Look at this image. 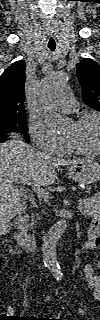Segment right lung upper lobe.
<instances>
[{
    "label": "right lung upper lobe",
    "instance_id": "1",
    "mask_svg": "<svg viewBox=\"0 0 100 320\" xmlns=\"http://www.w3.org/2000/svg\"><path fill=\"white\" fill-rule=\"evenodd\" d=\"M25 68L24 61L14 62L0 77V120L25 116Z\"/></svg>",
    "mask_w": 100,
    "mask_h": 320
}]
</instances>
